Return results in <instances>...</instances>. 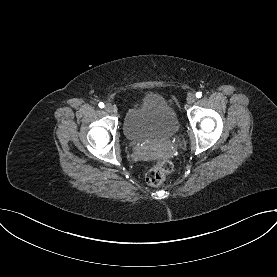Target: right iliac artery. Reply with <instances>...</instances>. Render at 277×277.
<instances>
[{
	"label": "right iliac artery",
	"instance_id": "right-iliac-artery-1",
	"mask_svg": "<svg viewBox=\"0 0 277 277\" xmlns=\"http://www.w3.org/2000/svg\"><path fill=\"white\" fill-rule=\"evenodd\" d=\"M99 107H100V108H104V103L100 102V103H99Z\"/></svg>",
	"mask_w": 277,
	"mask_h": 277
}]
</instances>
